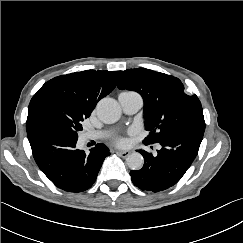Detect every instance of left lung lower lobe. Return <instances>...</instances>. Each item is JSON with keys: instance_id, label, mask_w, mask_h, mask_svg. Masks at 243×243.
<instances>
[{"instance_id": "0a47b994", "label": "left lung lower lobe", "mask_w": 243, "mask_h": 243, "mask_svg": "<svg viewBox=\"0 0 243 243\" xmlns=\"http://www.w3.org/2000/svg\"><path fill=\"white\" fill-rule=\"evenodd\" d=\"M204 130L205 123H190L160 141L162 148L157 156L140 150L145 162L141 170L130 172L133 184L153 192L175 185L197 156Z\"/></svg>"}]
</instances>
